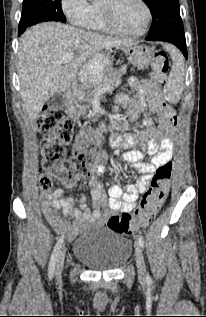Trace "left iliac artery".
Wrapping results in <instances>:
<instances>
[{"label": "left iliac artery", "mask_w": 206, "mask_h": 317, "mask_svg": "<svg viewBox=\"0 0 206 317\" xmlns=\"http://www.w3.org/2000/svg\"><path fill=\"white\" fill-rule=\"evenodd\" d=\"M137 240H138V243L140 244V246L144 247V240H143L142 236L138 235ZM147 278L150 279L149 276Z\"/></svg>", "instance_id": "left-iliac-artery-1"}]
</instances>
